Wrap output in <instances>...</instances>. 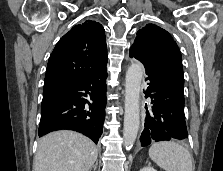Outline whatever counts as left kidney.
<instances>
[{"mask_svg":"<svg viewBox=\"0 0 223 171\" xmlns=\"http://www.w3.org/2000/svg\"><path fill=\"white\" fill-rule=\"evenodd\" d=\"M139 171H157V170H155L152 167H144V168L140 169Z\"/></svg>","mask_w":223,"mask_h":171,"instance_id":"1","label":"left kidney"}]
</instances>
